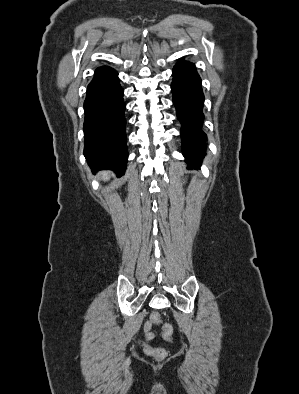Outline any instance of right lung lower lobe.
I'll return each instance as SVG.
<instances>
[{
	"mask_svg": "<svg viewBox=\"0 0 299 394\" xmlns=\"http://www.w3.org/2000/svg\"><path fill=\"white\" fill-rule=\"evenodd\" d=\"M123 89L118 73L107 66L95 70L84 102V156L93 170L124 174L128 152Z\"/></svg>",
	"mask_w": 299,
	"mask_h": 394,
	"instance_id": "obj_1",
	"label": "right lung lower lobe"
}]
</instances>
